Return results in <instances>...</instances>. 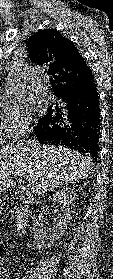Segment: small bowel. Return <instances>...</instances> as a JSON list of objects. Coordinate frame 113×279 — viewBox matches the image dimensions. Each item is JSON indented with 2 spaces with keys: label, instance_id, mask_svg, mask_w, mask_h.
Returning a JSON list of instances; mask_svg holds the SVG:
<instances>
[{
  "label": "small bowel",
  "instance_id": "1",
  "mask_svg": "<svg viewBox=\"0 0 113 279\" xmlns=\"http://www.w3.org/2000/svg\"><path fill=\"white\" fill-rule=\"evenodd\" d=\"M7 273L6 269H2L0 268V279H3V275H5Z\"/></svg>",
  "mask_w": 113,
  "mask_h": 279
}]
</instances>
